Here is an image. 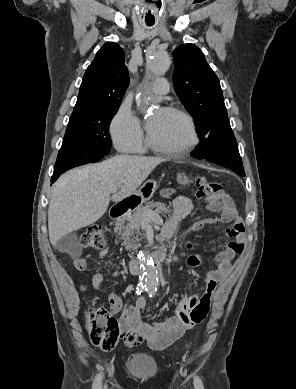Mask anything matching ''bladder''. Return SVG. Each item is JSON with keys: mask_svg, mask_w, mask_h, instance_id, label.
<instances>
[{"mask_svg": "<svg viewBox=\"0 0 296 389\" xmlns=\"http://www.w3.org/2000/svg\"><path fill=\"white\" fill-rule=\"evenodd\" d=\"M126 371L136 380H145L158 373L156 360L147 353H131L125 362Z\"/></svg>", "mask_w": 296, "mask_h": 389, "instance_id": "obj_1", "label": "bladder"}]
</instances>
